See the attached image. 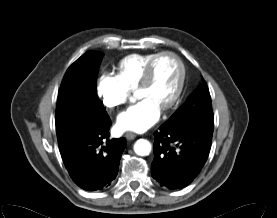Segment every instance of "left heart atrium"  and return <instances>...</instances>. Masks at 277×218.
Wrapping results in <instances>:
<instances>
[{
    "mask_svg": "<svg viewBox=\"0 0 277 218\" xmlns=\"http://www.w3.org/2000/svg\"><path fill=\"white\" fill-rule=\"evenodd\" d=\"M160 117V107L150 98H143L117 117L121 131H144L154 125Z\"/></svg>",
    "mask_w": 277,
    "mask_h": 218,
    "instance_id": "39dd6f15",
    "label": "left heart atrium"
}]
</instances>
